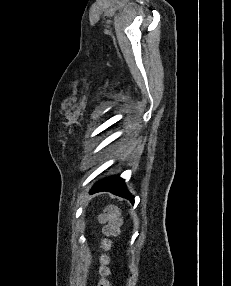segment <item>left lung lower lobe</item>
I'll use <instances>...</instances> for the list:
<instances>
[{
	"instance_id": "0a47b994",
	"label": "left lung lower lobe",
	"mask_w": 231,
	"mask_h": 286,
	"mask_svg": "<svg viewBox=\"0 0 231 286\" xmlns=\"http://www.w3.org/2000/svg\"><path fill=\"white\" fill-rule=\"evenodd\" d=\"M100 191H108L115 195L121 196L130 200L134 203V197L127 191L126 187L124 186V180L121 179L119 176H112L107 179H104L92 188L91 192H100Z\"/></svg>"
}]
</instances>
